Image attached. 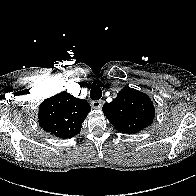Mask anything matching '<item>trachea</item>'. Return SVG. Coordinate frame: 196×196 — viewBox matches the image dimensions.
I'll return each instance as SVG.
<instances>
[{"mask_svg": "<svg viewBox=\"0 0 196 196\" xmlns=\"http://www.w3.org/2000/svg\"><path fill=\"white\" fill-rule=\"evenodd\" d=\"M90 97L92 100H99L102 97V91L100 87L94 86L90 91Z\"/></svg>", "mask_w": 196, "mask_h": 196, "instance_id": "3493384b", "label": "trachea"}]
</instances>
